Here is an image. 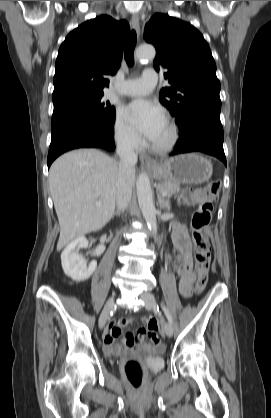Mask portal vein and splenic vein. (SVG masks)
I'll return each mask as SVG.
<instances>
[{"mask_svg":"<svg viewBox=\"0 0 271 418\" xmlns=\"http://www.w3.org/2000/svg\"><path fill=\"white\" fill-rule=\"evenodd\" d=\"M166 195H167V192L166 191H163L162 192V197H165ZM96 205L97 206H100L101 205V201H97Z\"/></svg>","mask_w":271,"mask_h":418,"instance_id":"1","label":"portal vein and splenic vein"}]
</instances>
